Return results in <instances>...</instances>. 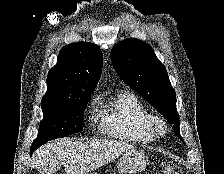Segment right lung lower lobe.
Masks as SVG:
<instances>
[{
  "label": "right lung lower lobe",
  "instance_id": "right-lung-lower-lobe-1",
  "mask_svg": "<svg viewBox=\"0 0 224 174\" xmlns=\"http://www.w3.org/2000/svg\"><path fill=\"white\" fill-rule=\"evenodd\" d=\"M37 149L36 147H33L30 149L31 154L34 152V150Z\"/></svg>",
  "mask_w": 224,
  "mask_h": 174
}]
</instances>
